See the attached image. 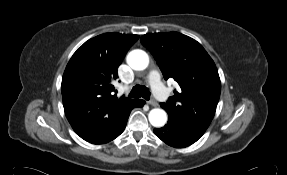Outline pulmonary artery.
Wrapping results in <instances>:
<instances>
[{"mask_svg": "<svg viewBox=\"0 0 287 175\" xmlns=\"http://www.w3.org/2000/svg\"><path fill=\"white\" fill-rule=\"evenodd\" d=\"M148 81L152 87L155 97L162 102L167 101L169 94L166 88L160 82V76L158 71H151L148 75Z\"/></svg>", "mask_w": 287, "mask_h": 175, "instance_id": "e3ab8cb5", "label": "pulmonary artery"}]
</instances>
